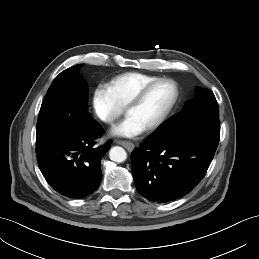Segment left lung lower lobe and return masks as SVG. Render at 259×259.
<instances>
[{
  "mask_svg": "<svg viewBox=\"0 0 259 259\" xmlns=\"http://www.w3.org/2000/svg\"><path fill=\"white\" fill-rule=\"evenodd\" d=\"M219 136V126L193 124L163 140L145 139L131 154L137 191L158 203L189 193L206 174Z\"/></svg>",
  "mask_w": 259,
  "mask_h": 259,
  "instance_id": "left-lung-lower-lobe-1",
  "label": "left lung lower lobe"
}]
</instances>
